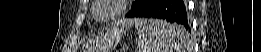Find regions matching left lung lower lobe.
Segmentation results:
<instances>
[{"instance_id":"obj_1","label":"left lung lower lobe","mask_w":261,"mask_h":52,"mask_svg":"<svg viewBox=\"0 0 261 52\" xmlns=\"http://www.w3.org/2000/svg\"><path fill=\"white\" fill-rule=\"evenodd\" d=\"M135 17L160 18L175 23L181 29L183 27L188 29L189 27L185 5L182 0H153ZM165 36L171 38L172 33L165 34Z\"/></svg>"}]
</instances>
